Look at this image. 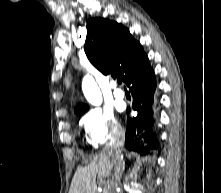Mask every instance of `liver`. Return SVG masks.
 <instances>
[{
	"label": "liver",
	"mask_w": 221,
	"mask_h": 193,
	"mask_svg": "<svg viewBox=\"0 0 221 193\" xmlns=\"http://www.w3.org/2000/svg\"><path fill=\"white\" fill-rule=\"evenodd\" d=\"M113 168V155L108 150L95 154L87 166L77 168L69 193H96V176L109 178Z\"/></svg>",
	"instance_id": "6515ba94"
}]
</instances>
